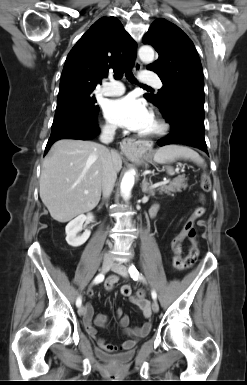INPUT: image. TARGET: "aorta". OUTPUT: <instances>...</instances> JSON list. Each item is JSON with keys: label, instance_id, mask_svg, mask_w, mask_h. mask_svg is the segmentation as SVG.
Segmentation results:
<instances>
[{"label": "aorta", "instance_id": "obj_1", "mask_svg": "<svg viewBox=\"0 0 247 385\" xmlns=\"http://www.w3.org/2000/svg\"><path fill=\"white\" fill-rule=\"evenodd\" d=\"M139 58L144 63H152L154 60V49L151 46H142L138 51ZM134 171L130 170L126 172L122 178L120 184L121 194L124 200H128L131 195V190L134 186L135 176Z\"/></svg>", "mask_w": 247, "mask_h": 385}]
</instances>
